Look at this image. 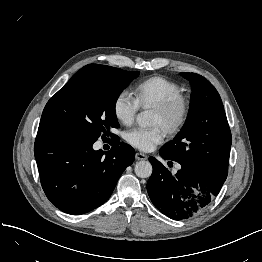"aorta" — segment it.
Returning a JSON list of instances; mask_svg holds the SVG:
<instances>
[{
  "instance_id": "762f6f07",
  "label": "aorta",
  "mask_w": 262,
  "mask_h": 262,
  "mask_svg": "<svg viewBox=\"0 0 262 262\" xmlns=\"http://www.w3.org/2000/svg\"><path fill=\"white\" fill-rule=\"evenodd\" d=\"M137 123L141 127L154 124L155 115L151 110H145L137 115ZM135 173L140 178H148L152 174V165L149 161H139L135 165Z\"/></svg>"
}]
</instances>
